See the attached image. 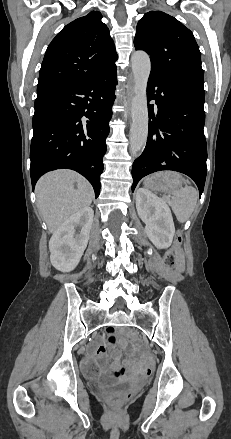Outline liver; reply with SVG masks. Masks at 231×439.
Wrapping results in <instances>:
<instances>
[{"label":"liver","instance_id":"liver-1","mask_svg":"<svg viewBox=\"0 0 231 439\" xmlns=\"http://www.w3.org/2000/svg\"><path fill=\"white\" fill-rule=\"evenodd\" d=\"M35 192L38 209L50 233H54L69 217L89 207L94 197L91 184L71 170L45 174L37 182Z\"/></svg>","mask_w":231,"mask_h":439}]
</instances>
